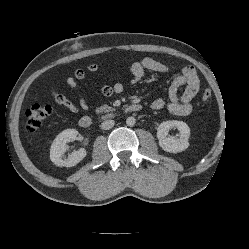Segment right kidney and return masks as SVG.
Wrapping results in <instances>:
<instances>
[{
	"label": "right kidney",
	"mask_w": 249,
	"mask_h": 249,
	"mask_svg": "<svg viewBox=\"0 0 249 249\" xmlns=\"http://www.w3.org/2000/svg\"><path fill=\"white\" fill-rule=\"evenodd\" d=\"M78 131L75 129H66L59 133L50 148V159L59 167H72L82 161L87 152L84 148L73 151L67 158L64 157L65 152L68 150L66 143L76 140Z\"/></svg>",
	"instance_id": "obj_1"
}]
</instances>
